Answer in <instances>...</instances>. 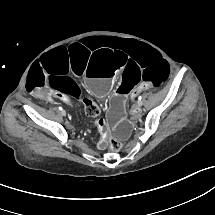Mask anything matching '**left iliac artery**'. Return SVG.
I'll use <instances>...</instances> for the list:
<instances>
[{"label":"left iliac artery","mask_w":215,"mask_h":215,"mask_svg":"<svg viewBox=\"0 0 215 215\" xmlns=\"http://www.w3.org/2000/svg\"><path fill=\"white\" fill-rule=\"evenodd\" d=\"M138 103H140V104L142 105V103H143V102H142V96H139V97H138Z\"/></svg>","instance_id":"1"}]
</instances>
